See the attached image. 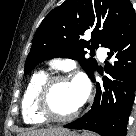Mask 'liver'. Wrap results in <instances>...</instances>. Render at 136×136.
Masks as SVG:
<instances>
[{"label":"liver","mask_w":136,"mask_h":136,"mask_svg":"<svg viewBox=\"0 0 136 136\" xmlns=\"http://www.w3.org/2000/svg\"><path fill=\"white\" fill-rule=\"evenodd\" d=\"M68 131L64 128H47V129H31L24 133H22L20 136H55L58 133Z\"/></svg>","instance_id":"liver-1"}]
</instances>
